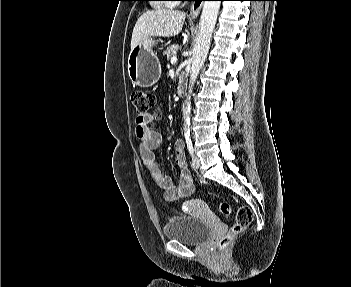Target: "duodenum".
<instances>
[{"label":"duodenum","instance_id":"obj_1","mask_svg":"<svg viewBox=\"0 0 351 287\" xmlns=\"http://www.w3.org/2000/svg\"><path fill=\"white\" fill-rule=\"evenodd\" d=\"M184 89H185V83H184L183 80H181L180 83H179V86H178V93L180 95H182L183 92H184Z\"/></svg>","mask_w":351,"mask_h":287}]
</instances>
